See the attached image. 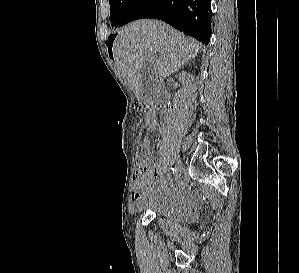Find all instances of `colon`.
I'll use <instances>...</instances> for the list:
<instances>
[{"instance_id": "1", "label": "colon", "mask_w": 299, "mask_h": 273, "mask_svg": "<svg viewBox=\"0 0 299 273\" xmlns=\"http://www.w3.org/2000/svg\"><path fill=\"white\" fill-rule=\"evenodd\" d=\"M142 150H150L151 149V141L148 137H144L140 141Z\"/></svg>"}]
</instances>
